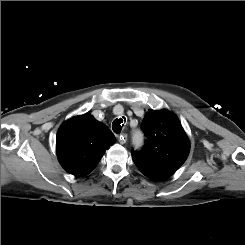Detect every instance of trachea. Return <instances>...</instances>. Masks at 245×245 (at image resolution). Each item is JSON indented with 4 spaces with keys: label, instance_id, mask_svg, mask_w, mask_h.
Segmentation results:
<instances>
[{
    "label": "trachea",
    "instance_id": "1",
    "mask_svg": "<svg viewBox=\"0 0 245 245\" xmlns=\"http://www.w3.org/2000/svg\"><path fill=\"white\" fill-rule=\"evenodd\" d=\"M126 122V118L122 117L119 119H115L112 123V129L115 133H120L122 130V127L124 126Z\"/></svg>",
    "mask_w": 245,
    "mask_h": 245
}]
</instances>
